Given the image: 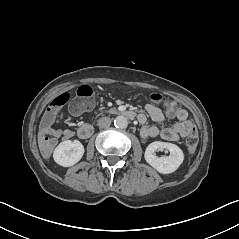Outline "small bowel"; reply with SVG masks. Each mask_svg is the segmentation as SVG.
<instances>
[{
	"label": "small bowel",
	"instance_id": "c3829d8e",
	"mask_svg": "<svg viewBox=\"0 0 239 239\" xmlns=\"http://www.w3.org/2000/svg\"><path fill=\"white\" fill-rule=\"evenodd\" d=\"M145 110L154 122H161L165 118L161 109L154 104H146ZM168 117L176 118L177 122L170 127L160 128L156 125H147L146 115L140 113L138 121L143 125L141 136L143 138L161 137L167 141H177L181 138L189 136L193 130H196L193 122L188 118L187 111L184 109H178L175 114L168 115ZM73 135V131L69 129H55L50 127L45 130H40L39 144L43 155L45 157L50 156L54 147L58 144V139H68Z\"/></svg>",
	"mask_w": 239,
	"mask_h": 239
}]
</instances>
